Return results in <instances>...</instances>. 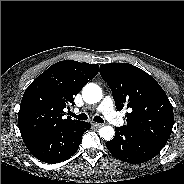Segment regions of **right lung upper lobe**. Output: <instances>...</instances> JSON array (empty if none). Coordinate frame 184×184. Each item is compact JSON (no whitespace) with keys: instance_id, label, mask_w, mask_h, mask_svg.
<instances>
[{"instance_id":"1","label":"right lung upper lobe","mask_w":184,"mask_h":184,"mask_svg":"<svg viewBox=\"0 0 184 184\" xmlns=\"http://www.w3.org/2000/svg\"><path fill=\"white\" fill-rule=\"evenodd\" d=\"M99 71L97 64L60 61L39 75L25 90L18 113L24 142L62 131L80 121L65 118V110Z\"/></svg>"}]
</instances>
